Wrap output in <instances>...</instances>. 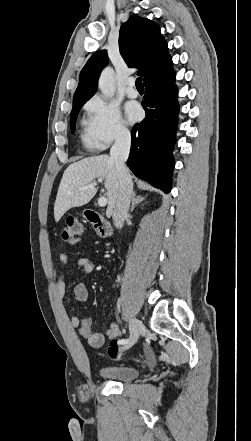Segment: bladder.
<instances>
[{
	"label": "bladder",
	"mask_w": 251,
	"mask_h": 441,
	"mask_svg": "<svg viewBox=\"0 0 251 441\" xmlns=\"http://www.w3.org/2000/svg\"><path fill=\"white\" fill-rule=\"evenodd\" d=\"M98 374L104 379L127 382L136 379L140 372L131 366H107L100 368Z\"/></svg>",
	"instance_id": "31cf9c89"
}]
</instances>
